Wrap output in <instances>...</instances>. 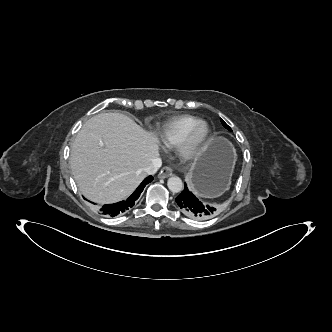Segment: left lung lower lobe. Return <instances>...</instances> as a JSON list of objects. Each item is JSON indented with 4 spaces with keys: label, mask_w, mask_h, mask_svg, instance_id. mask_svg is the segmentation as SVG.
<instances>
[{
    "label": "left lung lower lobe",
    "mask_w": 332,
    "mask_h": 332,
    "mask_svg": "<svg viewBox=\"0 0 332 332\" xmlns=\"http://www.w3.org/2000/svg\"><path fill=\"white\" fill-rule=\"evenodd\" d=\"M182 213L195 220H207L215 215L216 208L204 205L189 191L185 184L184 191L176 198Z\"/></svg>",
    "instance_id": "obj_1"
}]
</instances>
